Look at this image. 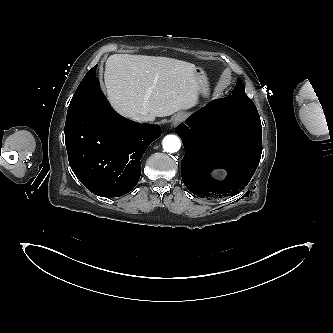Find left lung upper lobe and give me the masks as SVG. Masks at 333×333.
Segmentation results:
<instances>
[{
    "mask_svg": "<svg viewBox=\"0 0 333 333\" xmlns=\"http://www.w3.org/2000/svg\"><path fill=\"white\" fill-rule=\"evenodd\" d=\"M232 97L239 103L254 105L252 100L245 94V88L239 80L232 91Z\"/></svg>",
    "mask_w": 333,
    "mask_h": 333,
    "instance_id": "left-lung-upper-lobe-1",
    "label": "left lung upper lobe"
}]
</instances>
